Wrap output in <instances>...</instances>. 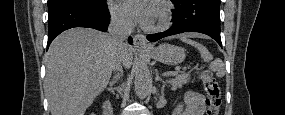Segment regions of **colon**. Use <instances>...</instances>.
<instances>
[{
	"mask_svg": "<svg viewBox=\"0 0 285 115\" xmlns=\"http://www.w3.org/2000/svg\"><path fill=\"white\" fill-rule=\"evenodd\" d=\"M200 79L206 92V114H220V108L222 105V94L217 80L209 70H203L201 72Z\"/></svg>",
	"mask_w": 285,
	"mask_h": 115,
	"instance_id": "obj_1",
	"label": "colon"
}]
</instances>
